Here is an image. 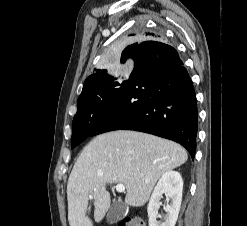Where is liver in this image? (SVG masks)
<instances>
[{
	"label": "liver",
	"instance_id": "liver-1",
	"mask_svg": "<svg viewBox=\"0 0 247 226\" xmlns=\"http://www.w3.org/2000/svg\"><path fill=\"white\" fill-rule=\"evenodd\" d=\"M187 159L181 145L154 135L126 130L98 135L83 149L68 179L69 225L93 226L86 215L89 195L95 221L103 219L111 203L108 184L126 187L128 205H144L158 179Z\"/></svg>",
	"mask_w": 247,
	"mask_h": 226
}]
</instances>
